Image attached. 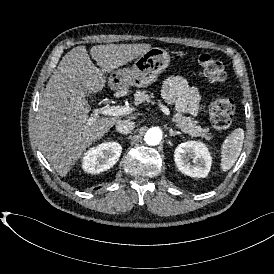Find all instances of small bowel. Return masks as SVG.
I'll return each instance as SVG.
<instances>
[{"label": "small bowel", "instance_id": "obj_1", "mask_svg": "<svg viewBox=\"0 0 274 274\" xmlns=\"http://www.w3.org/2000/svg\"><path fill=\"white\" fill-rule=\"evenodd\" d=\"M163 96L168 102L174 104L181 113L196 115L199 111V90L188 85L181 77H170L164 82Z\"/></svg>", "mask_w": 274, "mask_h": 274}]
</instances>
